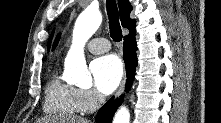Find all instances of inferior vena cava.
Masks as SVG:
<instances>
[{"instance_id": "602c4592", "label": "inferior vena cava", "mask_w": 221, "mask_h": 123, "mask_svg": "<svg viewBox=\"0 0 221 123\" xmlns=\"http://www.w3.org/2000/svg\"><path fill=\"white\" fill-rule=\"evenodd\" d=\"M104 100H105L104 96H102V95H99V96H98V101H99L100 103L104 102Z\"/></svg>"}]
</instances>
